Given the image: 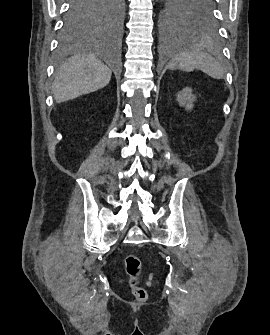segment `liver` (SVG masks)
I'll return each mask as SVG.
<instances>
[{"label": "liver", "instance_id": "liver-1", "mask_svg": "<svg viewBox=\"0 0 270 335\" xmlns=\"http://www.w3.org/2000/svg\"><path fill=\"white\" fill-rule=\"evenodd\" d=\"M111 74L110 68L101 64L95 54L73 56L55 74L52 84L54 98L60 104L101 90L109 84Z\"/></svg>", "mask_w": 270, "mask_h": 335}]
</instances>
